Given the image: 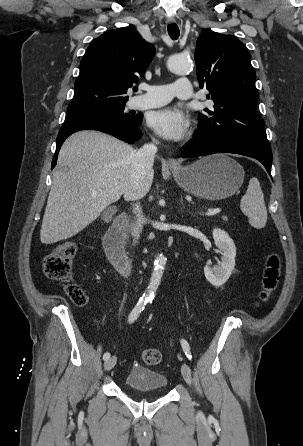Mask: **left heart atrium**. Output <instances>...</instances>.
Segmentation results:
<instances>
[{"instance_id":"39dd6f15","label":"left heart atrium","mask_w":303,"mask_h":446,"mask_svg":"<svg viewBox=\"0 0 303 446\" xmlns=\"http://www.w3.org/2000/svg\"><path fill=\"white\" fill-rule=\"evenodd\" d=\"M148 125L166 139L179 140L187 133L189 121L180 109L166 107L153 111L148 117Z\"/></svg>"}]
</instances>
